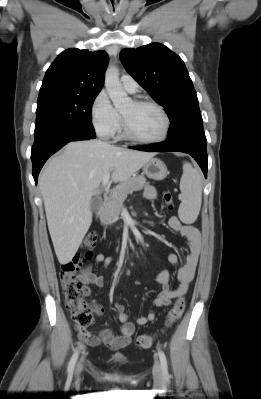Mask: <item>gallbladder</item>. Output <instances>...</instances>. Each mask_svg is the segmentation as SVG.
<instances>
[{
  "mask_svg": "<svg viewBox=\"0 0 261 399\" xmlns=\"http://www.w3.org/2000/svg\"><path fill=\"white\" fill-rule=\"evenodd\" d=\"M101 204H102V199H101V197H100V196H94V197L91 199V203H90V209H91V211H92V212H96V211L100 208Z\"/></svg>",
  "mask_w": 261,
  "mask_h": 399,
  "instance_id": "obj_1",
  "label": "gallbladder"
}]
</instances>
